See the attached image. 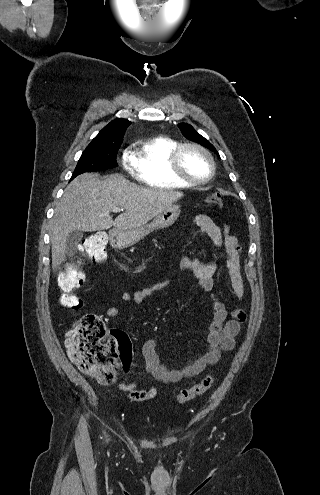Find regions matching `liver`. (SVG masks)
Masks as SVG:
<instances>
[{"label":"liver","mask_w":320,"mask_h":495,"mask_svg":"<svg viewBox=\"0 0 320 495\" xmlns=\"http://www.w3.org/2000/svg\"><path fill=\"white\" fill-rule=\"evenodd\" d=\"M182 192L139 187L119 174L100 180L87 173L75 178L65 189L50 226L52 269L56 271L66 258V240L75 230L94 232L136 229L148 223L173 202ZM125 212L114 221V208Z\"/></svg>","instance_id":"6515ba94"}]
</instances>
